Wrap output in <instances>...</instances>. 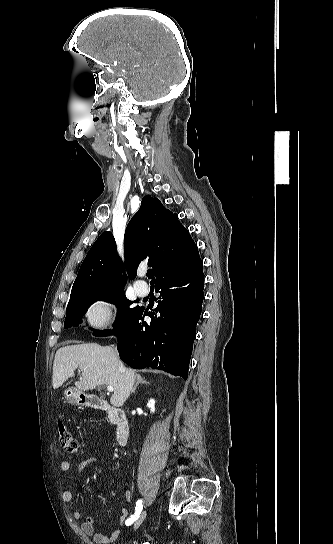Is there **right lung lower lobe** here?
<instances>
[{"label":"right lung lower lobe","mask_w":333,"mask_h":544,"mask_svg":"<svg viewBox=\"0 0 333 544\" xmlns=\"http://www.w3.org/2000/svg\"><path fill=\"white\" fill-rule=\"evenodd\" d=\"M203 285L202 262L188 271L158 280L155 284L156 292L160 293L158 305L154 313L147 314L151 322L143 320L145 310L140 308L114 330L120 358L135 369L150 367L187 379Z\"/></svg>","instance_id":"98d812e1"}]
</instances>
